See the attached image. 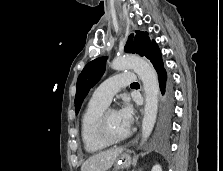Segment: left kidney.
Here are the masks:
<instances>
[{"mask_svg":"<svg viewBox=\"0 0 223 171\" xmlns=\"http://www.w3.org/2000/svg\"><path fill=\"white\" fill-rule=\"evenodd\" d=\"M151 171H162V168L159 164H156L155 166H153Z\"/></svg>","mask_w":223,"mask_h":171,"instance_id":"5707ae66","label":"left kidney"}]
</instances>
